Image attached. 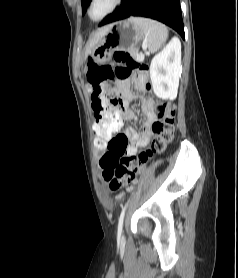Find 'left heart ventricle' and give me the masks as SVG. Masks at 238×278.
I'll return each mask as SVG.
<instances>
[{
    "mask_svg": "<svg viewBox=\"0 0 238 278\" xmlns=\"http://www.w3.org/2000/svg\"><path fill=\"white\" fill-rule=\"evenodd\" d=\"M113 0H97L91 9V16L99 18L103 16L111 7Z\"/></svg>",
    "mask_w": 238,
    "mask_h": 278,
    "instance_id": "b2bd125f",
    "label": "left heart ventricle"
}]
</instances>
